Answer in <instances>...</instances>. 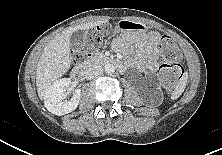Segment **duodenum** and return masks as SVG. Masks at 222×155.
I'll use <instances>...</instances> for the list:
<instances>
[{
  "label": "duodenum",
  "instance_id": "obj_1",
  "mask_svg": "<svg viewBox=\"0 0 222 155\" xmlns=\"http://www.w3.org/2000/svg\"><path fill=\"white\" fill-rule=\"evenodd\" d=\"M92 57H93V54L90 53V52H87V53L85 54V62H81V63L77 64V65L72 69L70 75H71V78H72L73 80L79 81V80H81V79L83 78L84 73H85V70H86V67H87L86 62L89 61V60H91ZM109 62L112 63V64H116L117 67H119L120 69H123V68H124V65H123V64L118 63V62H116V61H114V60H109Z\"/></svg>",
  "mask_w": 222,
  "mask_h": 155
}]
</instances>
